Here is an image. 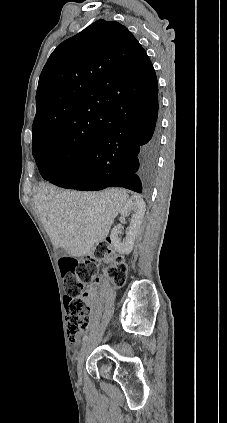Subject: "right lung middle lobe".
Instances as JSON below:
<instances>
[{
    "instance_id": "right-lung-middle-lobe-1",
    "label": "right lung middle lobe",
    "mask_w": 227,
    "mask_h": 423,
    "mask_svg": "<svg viewBox=\"0 0 227 423\" xmlns=\"http://www.w3.org/2000/svg\"><path fill=\"white\" fill-rule=\"evenodd\" d=\"M32 146L38 168L47 165L56 169V173L67 171L76 161L86 157L92 150V145L72 147L55 137L41 138L33 142Z\"/></svg>"
}]
</instances>
